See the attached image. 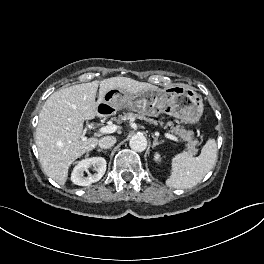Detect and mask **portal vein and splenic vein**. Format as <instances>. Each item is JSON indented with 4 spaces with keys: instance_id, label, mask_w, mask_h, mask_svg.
<instances>
[{
    "instance_id": "18ae733b",
    "label": "portal vein and splenic vein",
    "mask_w": 264,
    "mask_h": 264,
    "mask_svg": "<svg viewBox=\"0 0 264 264\" xmlns=\"http://www.w3.org/2000/svg\"><path fill=\"white\" fill-rule=\"evenodd\" d=\"M117 129H118L117 125H110V126L101 127L99 129V132L103 133V134L114 133V132L117 131ZM165 137L170 139V140H173L175 142H179L178 138L176 136L172 135V134L165 133Z\"/></svg>"
}]
</instances>
